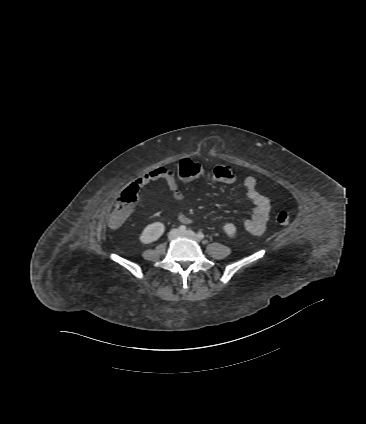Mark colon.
Segmentation results:
<instances>
[{"label": "colon", "mask_w": 366, "mask_h": 424, "mask_svg": "<svg viewBox=\"0 0 366 424\" xmlns=\"http://www.w3.org/2000/svg\"><path fill=\"white\" fill-rule=\"evenodd\" d=\"M204 167L193 160L182 159L177 165V175L180 180L188 181L201 175ZM212 177L219 182L229 183L235 179V173L231 166L220 165L212 169ZM138 188L136 185L129 186L118 199L112 213L109 216V226L119 228L128 218L134 203L137 201ZM291 213L282 210L277 214V222L281 225H288L291 222Z\"/></svg>", "instance_id": "1"}]
</instances>
